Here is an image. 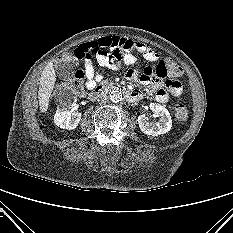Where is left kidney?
Returning a JSON list of instances; mask_svg holds the SVG:
<instances>
[{"instance_id": "1", "label": "left kidney", "mask_w": 233, "mask_h": 233, "mask_svg": "<svg viewBox=\"0 0 233 233\" xmlns=\"http://www.w3.org/2000/svg\"><path fill=\"white\" fill-rule=\"evenodd\" d=\"M149 107L160 119L158 122L151 123L149 122L148 117L145 115H140L138 117V125L140 130L143 133L152 136L165 134L170 131L172 127V119L169 111L164 106L157 103H151Z\"/></svg>"}]
</instances>
